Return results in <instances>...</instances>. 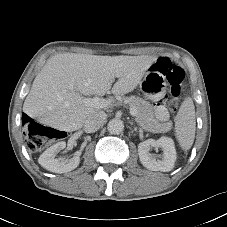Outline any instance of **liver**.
<instances>
[{"label":"liver","instance_id":"6515ba94","mask_svg":"<svg viewBox=\"0 0 227 227\" xmlns=\"http://www.w3.org/2000/svg\"><path fill=\"white\" fill-rule=\"evenodd\" d=\"M156 59L147 55H54L34 79L23 111L57 130H79L89 116L102 109L84 104L85 96L104 95L111 88L114 95L132 92Z\"/></svg>","mask_w":227,"mask_h":227}]
</instances>
